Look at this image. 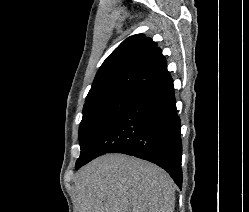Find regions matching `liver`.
<instances>
[{
    "mask_svg": "<svg viewBox=\"0 0 249 212\" xmlns=\"http://www.w3.org/2000/svg\"><path fill=\"white\" fill-rule=\"evenodd\" d=\"M77 212H174V182L155 164L106 154L75 176Z\"/></svg>",
    "mask_w": 249,
    "mask_h": 212,
    "instance_id": "1",
    "label": "liver"
}]
</instances>
